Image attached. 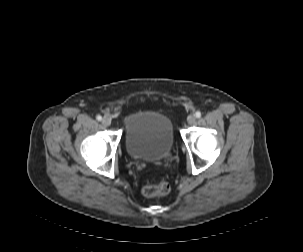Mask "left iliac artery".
I'll list each match as a JSON object with an SVG mask.
<instances>
[{
  "mask_svg": "<svg viewBox=\"0 0 303 252\" xmlns=\"http://www.w3.org/2000/svg\"><path fill=\"white\" fill-rule=\"evenodd\" d=\"M195 116H196V118H200V117H201V112H200V111H197V112L195 113Z\"/></svg>",
  "mask_w": 303,
  "mask_h": 252,
  "instance_id": "44dca946",
  "label": "left iliac artery"
}]
</instances>
